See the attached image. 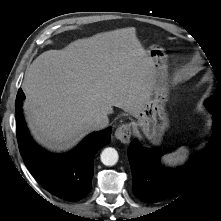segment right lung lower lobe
<instances>
[{"mask_svg": "<svg viewBox=\"0 0 221 221\" xmlns=\"http://www.w3.org/2000/svg\"><path fill=\"white\" fill-rule=\"evenodd\" d=\"M24 99L19 89L15 102L16 132L25 165L53 195L67 201L80 200L91 190L94 156L110 142L112 128L90 134L69 153H48L32 140L27 130L22 112Z\"/></svg>", "mask_w": 221, "mask_h": 221, "instance_id": "1", "label": "right lung lower lobe"}]
</instances>
